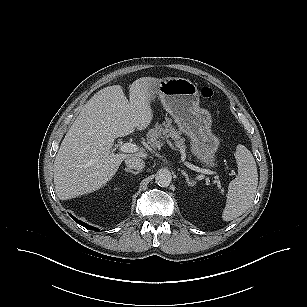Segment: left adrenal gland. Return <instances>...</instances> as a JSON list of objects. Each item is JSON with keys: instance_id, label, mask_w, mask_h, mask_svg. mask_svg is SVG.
I'll return each mask as SVG.
<instances>
[{"instance_id": "left-adrenal-gland-1", "label": "left adrenal gland", "mask_w": 307, "mask_h": 307, "mask_svg": "<svg viewBox=\"0 0 307 307\" xmlns=\"http://www.w3.org/2000/svg\"><path fill=\"white\" fill-rule=\"evenodd\" d=\"M181 173L183 174V176L185 177L186 183L188 186H193L194 185V181H191L188 177V174L184 171L181 170Z\"/></svg>"}]
</instances>
